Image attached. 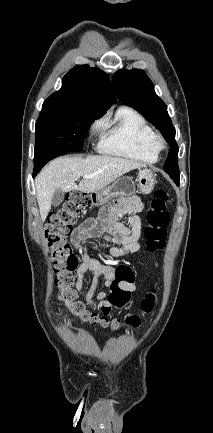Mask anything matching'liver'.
<instances>
[{
    "mask_svg": "<svg viewBox=\"0 0 213 433\" xmlns=\"http://www.w3.org/2000/svg\"><path fill=\"white\" fill-rule=\"evenodd\" d=\"M145 167L144 164L129 159L106 155L81 157H61L46 165L35 179L40 216L44 221L51 210L54 192L64 193L78 190L92 193L101 190L123 174ZM94 175L86 179L84 176ZM79 185L75 182L80 178Z\"/></svg>",
    "mask_w": 213,
    "mask_h": 433,
    "instance_id": "1",
    "label": "liver"
}]
</instances>
